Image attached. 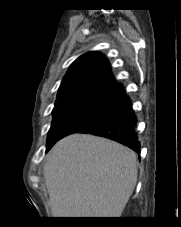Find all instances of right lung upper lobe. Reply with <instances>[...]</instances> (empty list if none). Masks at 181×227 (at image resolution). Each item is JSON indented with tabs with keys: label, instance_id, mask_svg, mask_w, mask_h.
Masks as SVG:
<instances>
[{
	"label": "right lung upper lobe",
	"instance_id": "1",
	"mask_svg": "<svg viewBox=\"0 0 181 227\" xmlns=\"http://www.w3.org/2000/svg\"><path fill=\"white\" fill-rule=\"evenodd\" d=\"M117 82L104 55L88 52L76 59L60 85L57 98L62 99L83 93L113 91Z\"/></svg>",
	"mask_w": 181,
	"mask_h": 227
}]
</instances>
